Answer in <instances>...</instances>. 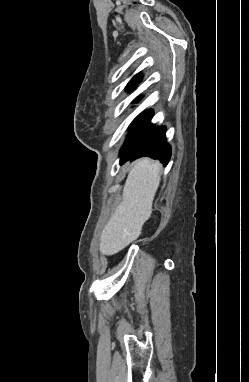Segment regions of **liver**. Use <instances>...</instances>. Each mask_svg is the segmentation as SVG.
Returning <instances> with one entry per match:
<instances>
[{
  "label": "liver",
  "instance_id": "obj_1",
  "mask_svg": "<svg viewBox=\"0 0 249 382\" xmlns=\"http://www.w3.org/2000/svg\"><path fill=\"white\" fill-rule=\"evenodd\" d=\"M161 179V164L149 158L139 160L130 170L123 199L104 226L99 249L113 255L135 241L152 213V203Z\"/></svg>",
  "mask_w": 249,
  "mask_h": 382
}]
</instances>
